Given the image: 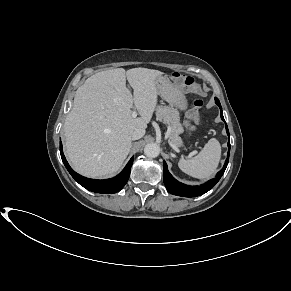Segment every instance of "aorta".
<instances>
[{
  "label": "aorta",
  "instance_id": "obj_1",
  "mask_svg": "<svg viewBox=\"0 0 291 291\" xmlns=\"http://www.w3.org/2000/svg\"><path fill=\"white\" fill-rule=\"evenodd\" d=\"M144 153L147 157L155 158L160 153V146L157 143H149L144 147Z\"/></svg>",
  "mask_w": 291,
  "mask_h": 291
}]
</instances>
